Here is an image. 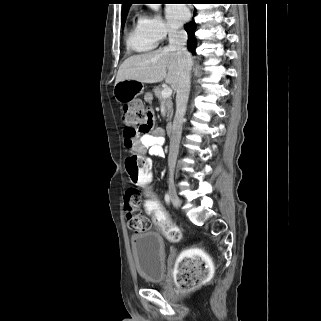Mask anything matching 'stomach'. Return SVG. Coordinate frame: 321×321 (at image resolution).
Wrapping results in <instances>:
<instances>
[{"mask_svg":"<svg viewBox=\"0 0 321 321\" xmlns=\"http://www.w3.org/2000/svg\"><path fill=\"white\" fill-rule=\"evenodd\" d=\"M143 83L135 80H123L115 84L114 97L121 103H128L143 92Z\"/></svg>","mask_w":321,"mask_h":321,"instance_id":"obj_1","label":"stomach"}]
</instances>
